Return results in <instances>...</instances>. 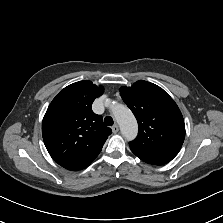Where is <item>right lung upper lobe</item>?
Instances as JSON below:
<instances>
[{"label": "right lung upper lobe", "instance_id": "1", "mask_svg": "<svg viewBox=\"0 0 223 223\" xmlns=\"http://www.w3.org/2000/svg\"><path fill=\"white\" fill-rule=\"evenodd\" d=\"M103 87L79 81L65 87L49 105L42 122L45 146L62 167L76 171L89 166L111 134L102 117L92 111Z\"/></svg>", "mask_w": 223, "mask_h": 223}]
</instances>
